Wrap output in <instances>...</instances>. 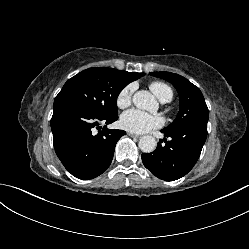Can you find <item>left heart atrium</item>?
Listing matches in <instances>:
<instances>
[{"mask_svg": "<svg viewBox=\"0 0 249 249\" xmlns=\"http://www.w3.org/2000/svg\"><path fill=\"white\" fill-rule=\"evenodd\" d=\"M121 127L127 131L144 133L162 125V119L139 109L124 112L120 118Z\"/></svg>", "mask_w": 249, "mask_h": 249, "instance_id": "1", "label": "left heart atrium"}]
</instances>
